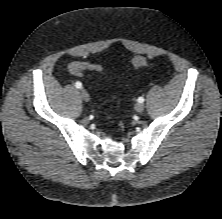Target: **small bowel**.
<instances>
[{
    "instance_id": "obj_1",
    "label": "small bowel",
    "mask_w": 222,
    "mask_h": 219,
    "mask_svg": "<svg viewBox=\"0 0 222 219\" xmlns=\"http://www.w3.org/2000/svg\"><path fill=\"white\" fill-rule=\"evenodd\" d=\"M94 63L85 62V61H74L71 62L68 66L70 73L81 76L83 71H94Z\"/></svg>"
}]
</instances>
